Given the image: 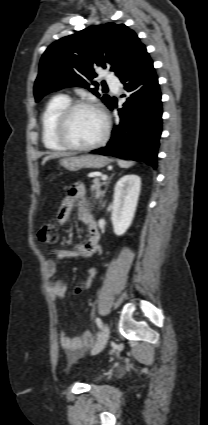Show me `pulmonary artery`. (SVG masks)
<instances>
[{
    "mask_svg": "<svg viewBox=\"0 0 208 425\" xmlns=\"http://www.w3.org/2000/svg\"><path fill=\"white\" fill-rule=\"evenodd\" d=\"M106 82H107L109 85H111V86H115V87H117V86H118V84H119L118 79H117L115 76L110 75V74H108V75L106 76Z\"/></svg>",
    "mask_w": 208,
    "mask_h": 425,
    "instance_id": "1",
    "label": "pulmonary artery"
}]
</instances>
